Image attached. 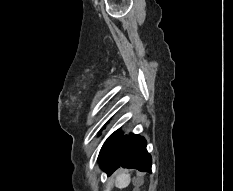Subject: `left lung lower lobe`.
I'll return each instance as SVG.
<instances>
[{"instance_id": "0a47b994", "label": "left lung lower lobe", "mask_w": 233, "mask_h": 191, "mask_svg": "<svg viewBox=\"0 0 233 191\" xmlns=\"http://www.w3.org/2000/svg\"><path fill=\"white\" fill-rule=\"evenodd\" d=\"M98 159L101 161L100 166L108 175L120 166L151 172L152 160L146 150V140L134 134L123 136L119 130L105 141Z\"/></svg>"}]
</instances>
